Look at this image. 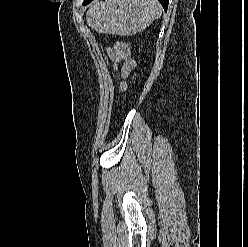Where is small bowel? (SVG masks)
Returning a JSON list of instances; mask_svg holds the SVG:
<instances>
[{
  "label": "small bowel",
  "mask_w": 248,
  "mask_h": 247,
  "mask_svg": "<svg viewBox=\"0 0 248 247\" xmlns=\"http://www.w3.org/2000/svg\"><path fill=\"white\" fill-rule=\"evenodd\" d=\"M108 53L111 60L115 63L116 68L118 63H123L121 67V77L122 79H126L135 67V62L131 58L129 46L125 43H117L113 48L108 50ZM120 88L122 91L126 90L127 84L125 81L121 82Z\"/></svg>",
  "instance_id": "obj_1"
}]
</instances>
